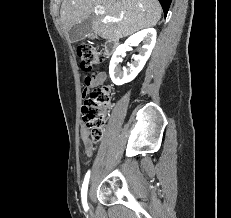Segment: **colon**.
Masks as SVG:
<instances>
[{
    "instance_id": "5ec220e1",
    "label": "colon",
    "mask_w": 231,
    "mask_h": 218,
    "mask_svg": "<svg viewBox=\"0 0 231 218\" xmlns=\"http://www.w3.org/2000/svg\"><path fill=\"white\" fill-rule=\"evenodd\" d=\"M83 71H91L105 60L103 50L90 44H80L76 48ZM111 106V93L108 87H94L82 107V119L93 142L99 141L105 128V116Z\"/></svg>"
}]
</instances>
